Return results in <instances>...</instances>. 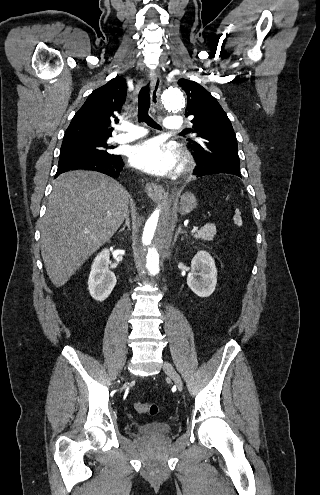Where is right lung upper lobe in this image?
Listing matches in <instances>:
<instances>
[{"instance_id": "obj_1", "label": "right lung upper lobe", "mask_w": 320, "mask_h": 495, "mask_svg": "<svg viewBox=\"0 0 320 495\" xmlns=\"http://www.w3.org/2000/svg\"><path fill=\"white\" fill-rule=\"evenodd\" d=\"M126 94V80L118 76L94 90L74 115L64 140L111 137L110 124L118 123Z\"/></svg>"}]
</instances>
